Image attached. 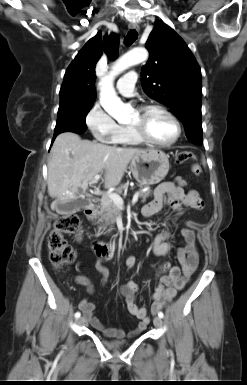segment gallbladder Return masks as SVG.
Segmentation results:
<instances>
[{"label": "gallbladder", "instance_id": "gallbladder-1", "mask_svg": "<svg viewBox=\"0 0 247 385\" xmlns=\"http://www.w3.org/2000/svg\"><path fill=\"white\" fill-rule=\"evenodd\" d=\"M89 203L87 199L78 198L65 204L58 203L56 210L59 214H73L87 207Z\"/></svg>", "mask_w": 247, "mask_h": 385}]
</instances>
